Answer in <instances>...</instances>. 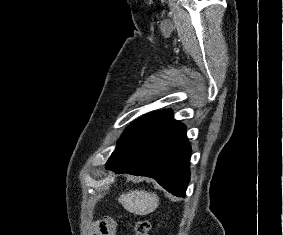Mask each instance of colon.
<instances>
[{
    "mask_svg": "<svg viewBox=\"0 0 283 235\" xmlns=\"http://www.w3.org/2000/svg\"><path fill=\"white\" fill-rule=\"evenodd\" d=\"M150 222L146 219H139L134 224V235H149Z\"/></svg>",
    "mask_w": 283,
    "mask_h": 235,
    "instance_id": "1",
    "label": "colon"
}]
</instances>
